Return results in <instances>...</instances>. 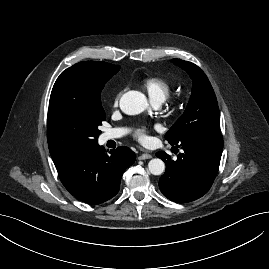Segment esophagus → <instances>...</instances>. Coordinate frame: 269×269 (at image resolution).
<instances>
[{"label":"esophagus","mask_w":269,"mask_h":269,"mask_svg":"<svg viewBox=\"0 0 269 269\" xmlns=\"http://www.w3.org/2000/svg\"><path fill=\"white\" fill-rule=\"evenodd\" d=\"M150 158H152V156L148 153H143V154L139 155V157H138L139 160H146V159H150Z\"/></svg>","instance_id":"esophagus-1"}]
</instances>
